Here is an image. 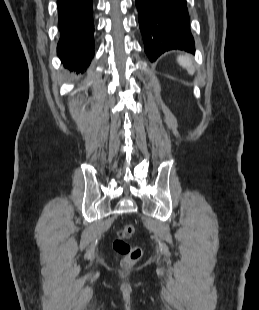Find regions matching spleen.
<instances>
[{"instance_id":"1","label":"spleen","mask_w":259,"mask_h":310,"mask_svg":"<svg viewBox=\"0 0 259 310\" xmlns=\"http://www.w3.org/2000/svg\"><path fill=\"white\" fill-rule=\"evenodd\" d=\"M177 61H178L180 66H182L183 68H185L188 71L189 74L194 73V67L192 64V60L190 59V57L188 55L178 56Z\"/></svg>"}]
</instances>
